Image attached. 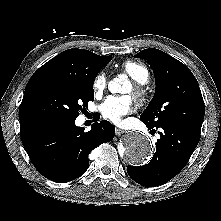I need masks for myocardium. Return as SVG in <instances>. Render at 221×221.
<instances>
[{
  "label": "myocardium",
  "instance_id": "f54148a6",
  "mask_svg": "<svg viewBox=\"0 0 221 221\" xmlns=\"http://www.w3.org/2000/svg\"><path fill=\"white\" fill-rule=\"evenodd\" d=\"M131 96L137 104L142 105L146 101L147 92L141 84L134 83L132 85Z\"/></svg>",
  "mask_w": 221,
  "mask_h": 221
}]
</instances>
